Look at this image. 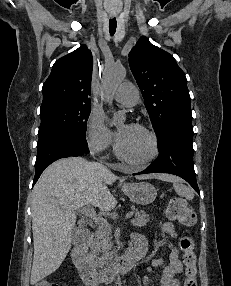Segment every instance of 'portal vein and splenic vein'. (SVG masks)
Segmentation results:
<instances>
[{
	"instance_id": "portal-vein-and-splenic-vein-1",
	"label": "portal vein and splenic vein",
	"mask_w": 231,
	"mask_h": 286,
	"mask_svg": "<svg viewBox=\"0 0 231 286\" xmlns=\"http://www.w3.org/2000/svg\"><path fill=\"white\" fill-rule=\"evenodd\" d=\"M80 212L87 217L93 219L94 223L98 226V228H106L109 227V223L106 219L102 218L101 216L97 215L94 208L90 205L84 207ZM133 211L127 213L126 218L129 219L133 216Z\"/></svg>"
}]
</instances>
